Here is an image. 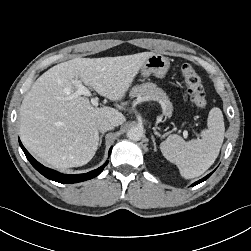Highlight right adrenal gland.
Listing matches in <instances>:
<instances>
[{
    "mask_svg": "<svg viewBox=\"0 0 251 251\" xmlns=\"http://www.w3.org/2000/svg\"><path fill=\"white\" fill-rule=\"evenodd\" d=\"M103 136H104V133H102V134L100 135V137H99V146H101Z\"/></svg>",
    "mask_w": 251,
    "mask_h": 251,
    "instance_id": "right-adrenal-gland-1",
    "label": "right adrenal gland"
}]
</instances>
